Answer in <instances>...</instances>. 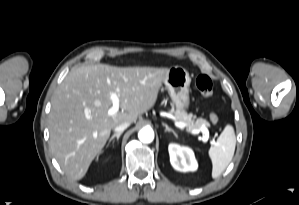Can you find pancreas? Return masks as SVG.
<instances>
[{
    "label": "pancreas",
    "instance_id": "obj_1",
    "mask_svg": "<svg viewBox=\"0 0 299 205\" xmlns=\"http://www.w3.org/2000/svg\"><path fill=\"white\" fill-rule=\"evenodd\" d=\"M171 113L174 114L176 119L179 122H183L187 124V130L193 131L196 129H200L201 127L208 128L210 126L209 122L203 118H197L193 117L191 114H187L184 110L177 109L176 111H171Z\"/></svg>",
    "mask_w": 299,
    "mask_h": 205
}]
</instances>
